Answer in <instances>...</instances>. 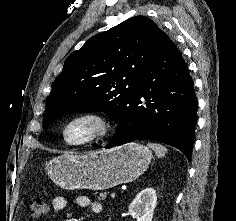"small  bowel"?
I'll use <instances>...</instances> for the list:
<instances>
[{
    "label": "small bowel",
    "instance_id": "small-bowel-1",
    "mask_svg": "<svg viewBox=\"0 0 236 221\" xmlns=\"http://www.w3.org/2000/svg\"><path fill=\"white\" fill-rule=\"evenodd\" d=\"M75 203L78 207L89 208L91 213L94 215H99L103 211V207L100 202L91 201L86 196H78L75 200ZM66 205L67 201L62 196L54 197L51 202L52 209L56 212L64 210Z\"/></svg>",
    "mask_w": 236,
    "mask_h": 221
}]
</instances>
